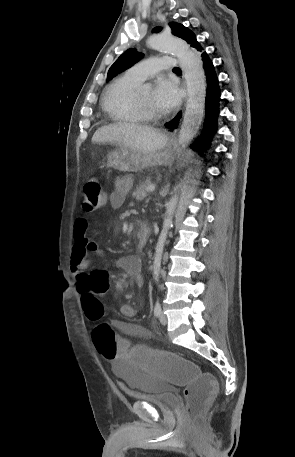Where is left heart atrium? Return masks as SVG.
<instances>
[{
	"mask_svg": "<svg viewBox=\"0 0 295 457\" xmlns=\"http://www.w3.org/2000/svg\"><path fill=\"white\" fill-rule=\"evenodd\" d=\"M180 101V92L176 84L165 78L156 81L152 92V102L154 107L159 111H169L173 109Z\"/></svg>",
	"mask_w": 295,
	"mask_h": 457,
	"instance_id": "obj_1",
	"label": "left heart atrium"
}]
</instances>
